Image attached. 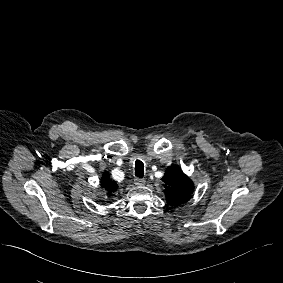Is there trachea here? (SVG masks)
Masks as SVG:
<instances>
[{"label": "trachea", "instance_id": "obj_1", "mask_svg": "<svg viewBox=\"0 0 283 283\" xmlns=\"http://www.w3.org/2000/svg\"><path fill=\"white\" fill-rule=\"evenodd\" d=\"M135 176L142 178L144 176V164L142 161L135 162Z\"/></svg>", "mask_w": 283, "mask_h": 283}]
</instances>
